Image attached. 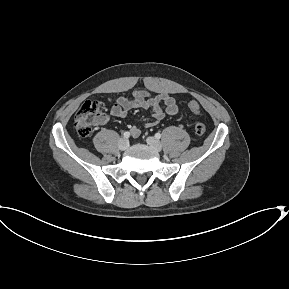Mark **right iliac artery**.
Wrapping results in <instances>:
<instances>
[{
	"mask_svg": "<svg viewBox=\"0 0 289 289\" xmlns=\"http://www.w3.org/2000/svg\"><path fill=\"white\" fill-rule=\"evenodd\" d=\"M123 137L124 138H129L130 137V133L128 131L123 133Z\"/></svg>",
	"mask_w": 289,
	"mask_h": 289,
	"instance_id": "right-iliac-artery-1",
	"label": "right iliac artery"
}]
</instances>
